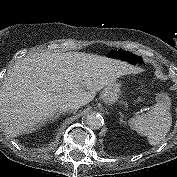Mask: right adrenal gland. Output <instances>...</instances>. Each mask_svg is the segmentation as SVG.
Masks as SVG:
<instances>
[{"label": "right adrenal gland", "mask_w": 177, "mask_h": 177, "mask_svg": "<svg viewBox=\"0 0 177 177\" xmlns=\"http://www.w3.org/2000/svg\"><path fill=\"white\" fill-rule=\"evenodd\" d=\"M63 112L59 111L55 116L49 119V122H54Z\"/></svg>", "instance_id": "obj_1"}]
</instances>
